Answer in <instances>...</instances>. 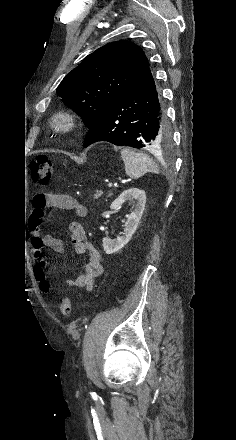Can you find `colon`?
<instances>
[{
	"label": "colon",
	"mask_w": 236,
	"mask_h": 440,
	"mask_svg": "<svg viewBox=\"0 0 236 440\" xmlns=\"http://www.w3.org/2000/svg\"><path fill=\"white\" fill-rule=\"evenodd\" d=\"M52 171L53 165L50 158L45 155L38 156L34 160L31 168L33 182L41 186L47 185L50 182ZM40 289L45 294H51V289L48 282L42 284ZM58 310L63 315H69L71 313V301L68 297L59 298Z\"/></svg>",
	"instance_id": "colon-1"
}]
</instances>
